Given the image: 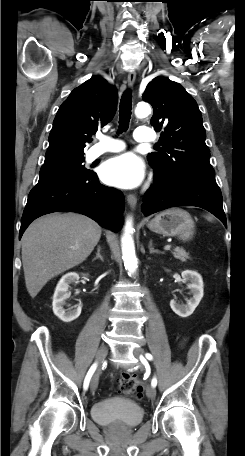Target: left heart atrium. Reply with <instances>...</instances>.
Masks as SVG:
<instances>
[{
	"instance_id": "left-heart-atrium-1",
	"label": "left heart atrium",
	"mask_w": 245,
	"mask_h": 456,
	"mask_svg": "<svg viewBox=\"0 0 245 456\" xmlns=\"http://www.w3.org/2000/svg\"><path fill=\"white\" fill-rule=\"evenodd\" d=\"M145 167L134 153H124L110 158L101 168V178L109 185L134 188L144 179Z\"/></svg>"
}]
</instances>
